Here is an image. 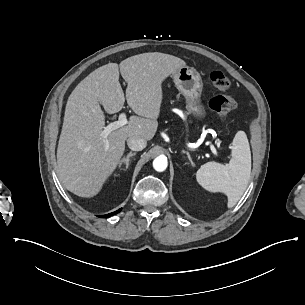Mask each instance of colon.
<instances>
[{"label": "colon", "instance_id": "colon-1", "mask_svg": "<svg viewBox=\"0 0 305 305\" xmlns=\"http://www.w3.org/2000/svg\"><path fill=\"white\" fill-rule=\"evenodd\" d=\"M210 80L213 86L221 93L213 96L209 100V107L219 115V118L223 123H227L230 112L236 107L235 101L228 94L230 80L228 76L221 71L211 72Z\"/></svg>", "mask_w": 305, "mask_h": 305}]
</instances>
